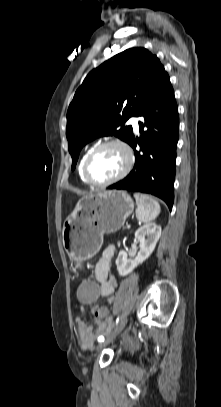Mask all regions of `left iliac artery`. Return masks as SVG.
<instances>
[{
  "label": "left iliac artery",
  "instance_id": "44dca946",
  "mask_svg": "<svg viewBox=\"0 0 221 407\" xmlns=\"http://www.w3.org/2000/svg\"><path fill=\"white\" fill-rule=\"evenodd\" d=\"M118 321H119V319L117 318L116 324H118ZM110 331H111V328H108L107 331H106V333H105V335H109ZM103 341H104V337H103V336H101V337L98 338V342H103Z\"/></svg>",
  "mask_w": 221,
  "mask_h": 407
}]
</instances>
